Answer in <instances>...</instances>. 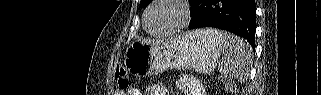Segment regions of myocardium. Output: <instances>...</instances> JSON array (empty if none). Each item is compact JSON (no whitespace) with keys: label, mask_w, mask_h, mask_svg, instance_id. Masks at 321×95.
<instances>
[{"label":"myocardium","mask_w":321,"mask_h":95,"mask_svg":"<svg viewBox=\"0 0 321 95\" xmlns=\"http://www.w3.org/2000/svg\"><path fill=\"white\" fill-rule=\"evenodd\" d=\"M163 1H170V2L177 4L181 8L182 18H181L180 23L170 30H167L164 32H153L148 28V25H147L148 16H149L150 11L154 8V6H156L157 4H159ZM190 19H191V10H190V6L186 0H153V1H151V3L148 5V7L144 11L143 27L148 33H150L154 36H157V37L169 36V35L176 34V33L180 32L183 28H185L188 25V23L190 22Z\"/></svg>","instance_id":"f54148a6"}]
</instances>
